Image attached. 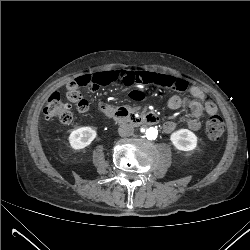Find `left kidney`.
<instances>
[{"label":"left kidney","mask_w":250,"mask_h":250,"mask_svg":"<svg viewBox=\"0 0 250 250\" xmlns=\"http://www.w3.org/2000/svg\"><path fill=\"white\" fill-rule=\"evenodd\" d=\"M175 140L180 150L186 152V157H189L191 156V153L200 150L198 146V140L201 141V139H199L195 133L189 130H179L175 134ZM183 142L186 143L183 144Z\"/></svg>","instance_id":"obj_1"}]
</instances>
